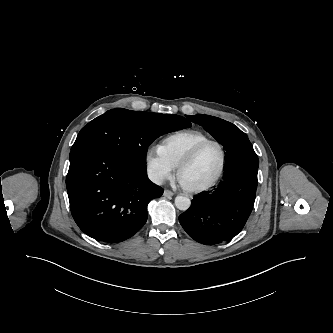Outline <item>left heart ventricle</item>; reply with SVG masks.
<instances>
[{"label": "left heart ventricle", "instance_id": "obj_1", "mask_svg": "<svg viewBox=\"0 0 333 333\" xmlns=\"http://www.w3.org/2000/svg\"><path fill=\"white\" fill-rule=\"evenodd\" d=\"M219 163V149L214 145H209L182 171L180 180L189 187L203 185L215 175Z\"/></svg>", "mask_w": 333, "mask_h": 333}]
</instances>
